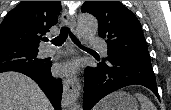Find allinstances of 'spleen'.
Wrapping results in <instances>:
<instances>
[{"label":"spleen","instance_id":"obj_1","mask_svg":"<svg viewBox=\"0 0 171 110\" xmlns=\"http://www.w3.org/2000/svg\"><path fill=\"white\" fill-rule=\"evenodd\" d=\"M135 96L141 104V110H157L151 100L144 94L137 93ZM101 108L102 107H100V104H98L96 110H100Z\"/></svg>","mask_w":171,"mask_h":110}]
</instances>
